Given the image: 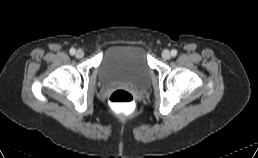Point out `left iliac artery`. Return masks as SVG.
<instances>
[{"instance_id": "1", "label": "left iliac artery", "mask_w": 258, "mask_h": 158, "mask_svg": "<svg viewBox=\"0 0 258 158\" xmlns=\"http://www.w3.org/2000/svg\"><path fill=\"white\" fill-rule=\"evenodd\" d=\"M171 55L173 57H175L177 55V50H175V49L171 50Z\"/></svg>"}]
</instances>
